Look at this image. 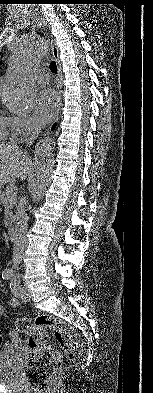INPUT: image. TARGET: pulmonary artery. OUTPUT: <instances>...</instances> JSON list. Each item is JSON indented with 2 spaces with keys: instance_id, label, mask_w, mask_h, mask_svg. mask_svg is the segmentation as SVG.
Masks as SVG:
<instances>
[{
  "instance_id": "1",
  "label": "pulmonary artery",
  "mask_w": 153,
  "mask_h": 393,
  "mask_svg": "<svg viewBox=\"0 0 153 393\" xmlns=\"http://www.w3.org/2000/svg\"><path fill=\"white\" fill-rule=\"evenodd\" d=\"M34 79L39 85H47L50 81L48 73H37L35 74Z\"/></svg>"
}]
</instances>
